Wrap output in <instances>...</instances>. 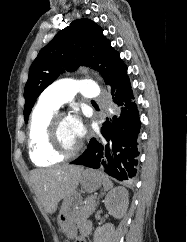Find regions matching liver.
<instances>
[{
  "instance_id": "liver-1",
  "label": "liver",
  "mask_w": 187,
  "mask_h": 242,
  "mask_svg": "<svg viewBox=\"0 0 187 242\" xmlns=\"http://www.w3.org/2000/svg\"><path fill=\"white\" fill-rule=\"evenodd\" d=\"M83 170L81 166L63 165L32 172L33 188L48 213H55L58 203L76 190Z\"/></svg>"
}]
</instances>
